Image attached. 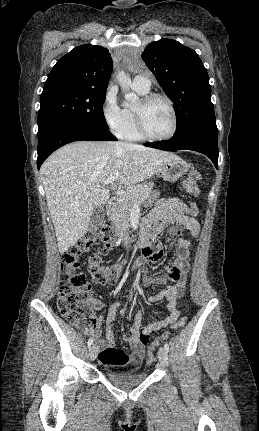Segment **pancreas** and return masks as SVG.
I'll return each mask as SVG.
<instances>
[{
    "label": "pancreas",
    "mask_w": 259,
    "mask_h": 431,
    "mask_svg": "<svg viewBox=\"0 0 259 431\" xmlns=\"http://www.w3.org/2000/svg\"><path fill=\"white\" fill-rule=\"evenodd\" d=\"M153 189V183H144L129 186L119 197L110 213V220L114 224L119 235L128 234L130 213L135 205L145 202Z\"/></svg>",
    "instance_id": "pancreas-1"
}]
</instances>
